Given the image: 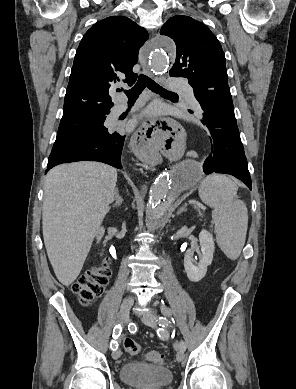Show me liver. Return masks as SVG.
<instances>
[{
  "label": "liver",
  "instance_id": "1",
  "mask_svg": "<svg viewBox=\"0 0 296 389\" xmlns=\"http://www.w3.org/2000/svg\"><path fill=\"white\" fill-rule=\"evenodd\" d=\"M116 169L81 161L51 169L44 184L42 229L57 279L72 284L81 272L93 239L114 201Z\"/></svg>",
  "mask_w": 296,
  "mask_h": 389
}]
</instances>
